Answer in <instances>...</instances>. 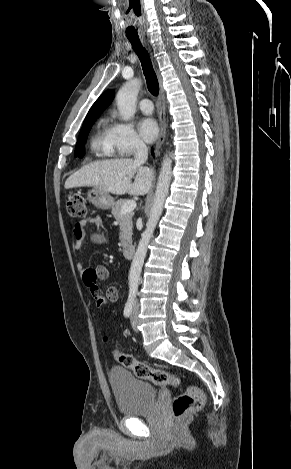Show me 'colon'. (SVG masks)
<instances>
[{"label": "colon", "instance_id": "colon-1", "mask_svg": "<svg viewBox=\"0 0 291 469\" xmlns=\"http://www.w3.org/2000/svg\"><path fill=\"white\" fill-rule=\"evenodd\" d=\"M67 212L73 218H84L87 214L86 203L78 194H72L67 200ZM98 310L106 306V301L101 296L93 299ZM113 357L123 367L133 371L139 379L149 380L158 386H178L180 379L167 371L153 369L144 362L137 361L131 354L121 352L117 349L112 351ZM205 403L203 392L196 386H189L183 393L178 395L172 403V411L176 418L201 408Z\"/></svg>", "mask_w": 291, "mask_h": 469}]
</instances>
